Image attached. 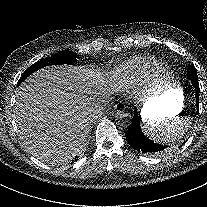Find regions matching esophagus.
I'll return each instance as SVG.
<instances>
[{"instance_id": "1", "label": "esophagus", "mask_w": 207, "mask_h": 207, "mask_svg": "<svg viewBox=\"0 0 207 207\" xmlns=\"http://www.w3.org/2000/svg\"><path fill=\"white\" fill-rule=\"evenodd\" d=\"M120 108H122V109L125 110L126 107H125V105L123 104V102L119 100V101H117L116 104H115V111L117 112V110L120 109Z\"/></svg>"}]
</instances>
